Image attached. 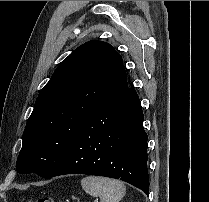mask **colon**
Listing matches in <instances>:
<instances>
[{
    "label": "colon",
    "instance_id": "1",
    "mask_svg": "<svg viewBox=\"0 0 209 202\" xmlns=\"http://www.w3.org/2000/svg\"><path fill=\"white\" fill-rule=\"evenodd\" d=\"M29 202H65V201H62V200L55 201L50 197L43 196V197H39L35 200H30Z\"/></svg>",
    "mask_w": 209,
    "mask_h": 202
}]
</instances>
